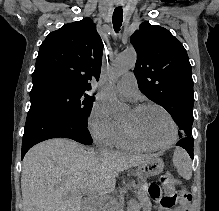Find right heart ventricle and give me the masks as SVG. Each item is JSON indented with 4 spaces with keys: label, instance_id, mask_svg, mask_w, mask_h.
Here are the masks:
<instances>
[{
    "label": "right heart ventricle",
    "instance_id": "1",
    "mask_svg": "<svg viewBox=\"0 0 219 211\" xmlns=\"http://www.w3.org/2000/svg\"><path fill=\"white\" fill-rule=\"evenodd\" d=\"M116 145L122 149H126V150H135V151H139V150H143L142 147L138 146L137 144H135L127 135L124 126L121 124L120 125V130L118 133V137L116 140Z\"/></svg>",
    "mask_w": 219,
    "mask_h": 211
}]
</instances>
